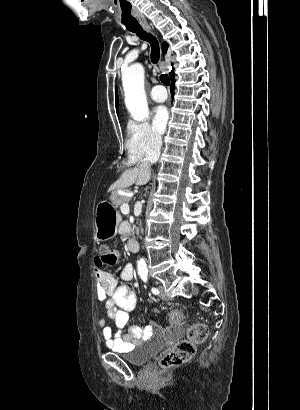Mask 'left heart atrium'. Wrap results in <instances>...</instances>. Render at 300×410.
<instances>
[{
	"instance_id": "obj_1",
	"label": "left heart atrium",
	"mask_w": 300,
	"mask_h": 410,
	"mask_svg": "<svg viewBox=\"0 0 300 410\" xmlns=\"http://www.w3.org/2000/svg\"><path fill=\"white\" fill-rule=\"evenodd\" d=\"M169 120V111L166 106H157L154 110L153 125L158 132H164Z\"/></svg>"
}]
</instances>
